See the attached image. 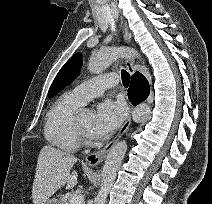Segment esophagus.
<instances>
[{"mask_svg":"<svg viewBox=\"0 0 212 204\" xmlns=\"http://www.w3.org/2000/svg\"><path fill=\"white\" fill-rule=\"evenodd\" d=\"M118 16H119L120 27L122 30L123 41L125 44H130L131 39H130V33H129L127 23L125 22V20L122 16H120L119 14H118ZM125 65H126L127 70L129 71V73L131 75H133L135 73L133 58L127 57L125 59ZM132 111H133V106L130 105L129 113H128L126 119L124 120L123 124L121 125L120 130L117 133V135L101 150L91 153L86 157V163L88 165L96 166L104 160V158L106 157V155L110 151V149L117 143V141L123 136V134L129 128V126L131 124Z\"/></svg>","mask_w":212,"mask_h":204,"instance_id":"esophagus-1","label":"esophagus"}]
</instances>
